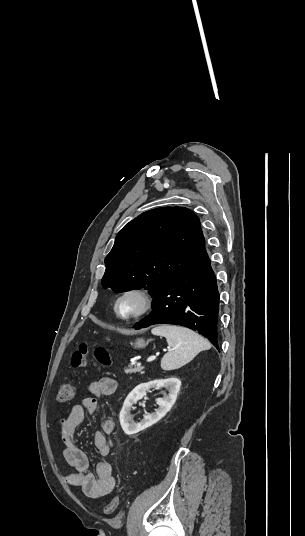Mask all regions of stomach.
Here are the masks:
<instances>
[{
  "label": "stomach",
  "mask_w": 305,
  "mask_h": 536,
  "mask_svg": "<svg viewBox=\"0 0 305 536\" xmlns=\"http://www.w3.org/2000/svg\"><path fill=\"white\" fill-rule=\"evenodd\" d=\"M145 346H147L145 340L143 338H137L134 348H145Z\"/></svg>",
  "instance_id": "0dacf381"
}]
</instances>
